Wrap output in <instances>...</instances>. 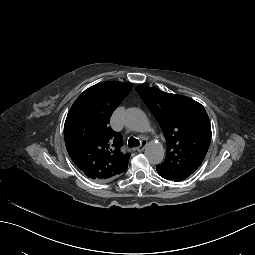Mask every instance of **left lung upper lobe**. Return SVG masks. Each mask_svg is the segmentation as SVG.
Wrapping results in <instances>:
<instances>
[{"instance_id":"1","label":"left lung upper lobe","mask_w":255,"mask_h":255,"mask_svg":"<svg viewBox=\"0 0 255 255\" xmlns=\"http://www.w3.org/2000/svg\"><path fill=\"white\" fill-rule=\"evenodd\" d=\"M136 91L160 124L167 142L158 174L173 181L189 177L201 165L211 141V126L204 107L191 98L165 93L157 88Z\"/></svg>"}]
</instances>
